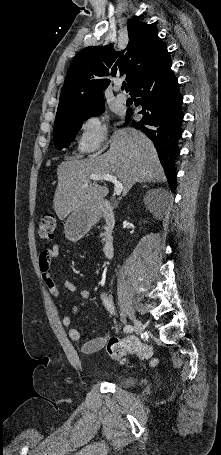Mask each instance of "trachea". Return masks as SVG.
Listing matches in <instances>:
<instances>
[{"label": "trachea", "mask_w": 221, "mask_h": 455, "mask_svg": "<svg viewBox=\"0 0 221 455\" xmlns=\"http://www.w3.org/2000/svg\"><path fill=\"white\" fill-rule=\"evenodd\" d=\"M121 88H122V89H125V88H126V84H123Z\"/></svg>", "instance_id": "3493384b"}]
</instances>
